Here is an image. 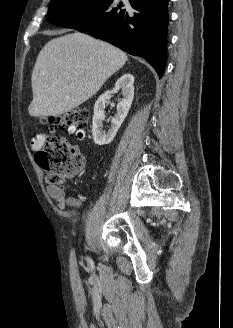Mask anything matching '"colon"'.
Listing matches in <instances>:
<instances>
[{
  "label": "colon",
  "mask_w": 233,
  "mask_h": 328,
  "mask_svg": "<svg viewBox=\"0 0 233 328\" xmlns=\"http://www.w3.org/2000/svg\"><path fill=\"white\" fill-rule=\"evenodd\" d=\"M43 122L53 129H64L83 139L88 128L89 112L86 108H76L62 115L45 118ZM35 159L47 172L46 181L51 185H59L65 177L77 173L83 162L79 148L61 135L47 137L42 148L35 153Z\"/></svg>",
  "instance_id": "5ec220e1"
}]
</instances>
